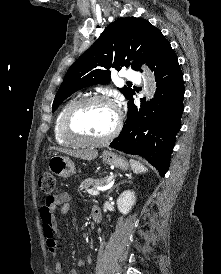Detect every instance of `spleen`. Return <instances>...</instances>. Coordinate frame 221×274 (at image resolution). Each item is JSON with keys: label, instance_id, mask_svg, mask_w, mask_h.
Wrapping results in <instances>:
<instances>
[{"label": "spleen", "instance_id": "obj_1", "mask_svg": "<svg viewBox=\"0 0 221 274\" xmlns=\"http://www.w3.org/2000/svg\"><path fill=\"white\" fill-rule=\"evenodd\" d=\"M130 165H131V168L135 174L145 173L148 171V169L143 164H141L139 161L131 159Z\"/></svg>", "mask_w": 221, "mask_h": 274}]
</instances>
